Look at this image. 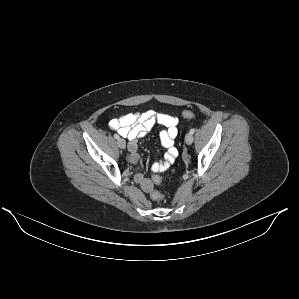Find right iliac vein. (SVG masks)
Masks as SVG:
<instances>
[{
	"instance_id": "1",
	"label": "right iliac vein",
	"mask_w": 299,
	"mask_h": 299,
	"mask_svg": "<svg viewBox=\"0 0 299 299\" xmlns=\"http://www.w3.org/2000/svg\"><path fill=\"white\" fill-rule=\"evenodd\" d=\"M117 143H118V146L121 148V149H125L126 147V142L123 138H118L117 140Z\"/></svg>"
}]
</instances>
